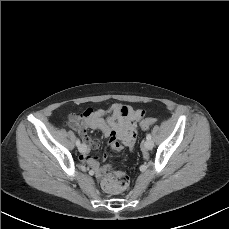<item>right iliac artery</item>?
<instances>
[{
	"label": "right iliac artery",
	"instance_id": "1",
	"mask_svg": "<svg viewBox=\"0 0 229 229\" xmlns=\"http://www.w3.org/2000/svg\"><path fill=\"white\" fill-rule=\"evenodd\" d=\"M76 145H77V147H79V146L81 145V143H80V140H79V139H77V140H76Z\"/></svg>",
	"mask_w": 229,
	"mask_h": 229
}]
</instances>
